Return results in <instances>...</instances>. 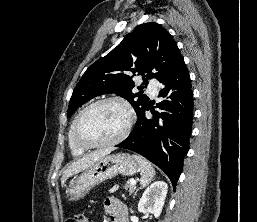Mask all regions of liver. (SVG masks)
I'll return each mask as SVG.
<instances>
[{"label": "liver", "instance_id": "liver-1", "mask_svg": "<svg viewBox=\"0 0 257 222\" xmlns=\"http://www.w3.org/2000/svg\"><path fill=\"white\" fill-rule=\"evenodd\" d=\"M113 150H114L113 148L101 149L70 163L63 172V175L61 178L62 186L64 185V183L69 177L81 171L86 170L91 165L96 163L99 159L111 153Z\"/></svg>", "mask_w": 257, "mask_h": 222}]
</instances>
